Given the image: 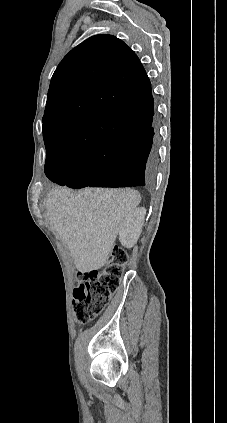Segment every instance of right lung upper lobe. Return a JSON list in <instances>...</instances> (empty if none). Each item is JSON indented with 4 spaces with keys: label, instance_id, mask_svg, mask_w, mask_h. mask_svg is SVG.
Instances as JSON below:
<instances>
[{
    "label": "right lung upper lobe",
    "instance_id": "right-lung-upper-lobe-1",
    "mask_svg": "<svg viewBox=\"0 0 227 423\" xmlns=\"http://www.w3.org/2000/svg\"><path fill=\"white\" fill-rule=\"evenodd\" d=\"M151 95L137 55L112 35L93 36L71 50L54 72L43 116L46 142L87 151L127 133L132 124L100 108Z\"/></svg>",
    "mask_w": 227,
    "mask_h": 423
}]
</instances>
